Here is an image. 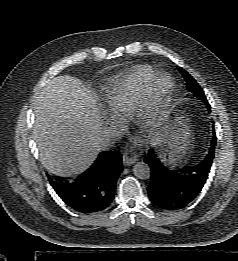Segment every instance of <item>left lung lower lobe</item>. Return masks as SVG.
Masks as SVG:
<instances>
[{
  "instance_id": "0a47b994",
  "label": "left lung lower lobe",
  "mask_w": 238,
  "mask_h": 261,
  "mask_svg": "<svg viewBox=\"0 0 238 261\" xmlns=\"http://www.w3.org/2000/svg\"><path fill=\"white\" fill-rule=\"evenodd\" d=\"M210 111V104L205 103ZM217 138L213 130L210 149L198 165L179 168L163 163L151 148L144 161L151 170L148 196L154 205L164 210H178L189 204L202 190L213 162Z\"/></svg>"
}]
</instances>
